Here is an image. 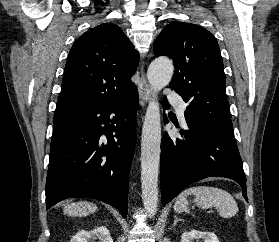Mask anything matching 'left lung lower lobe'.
I'll list each match as a JSON object with an SVG mask.
<instances>
[{
    "label": "left lung lower lobe",
    "instance_id": "left-lung-lower-lobe-1",
    "mask_svg": "<svg viewBox=\"0 0 279 242\" xmlns=\"http://www.w3.org/2000/svg\"><path fill=\"white\" fill-rule=\"evenodd\" d=\"M164 107H169L167 101ZM187 125V131H180L182 139H171L166 133L161 141L162 204L186 186L210 176L238 182L247 201L245 173L233 137L206 126Z\"/></svg>",
    "mask_w": 279,
    "mask_h": 242
}]
</instances>
